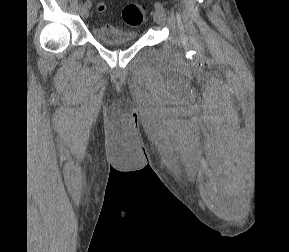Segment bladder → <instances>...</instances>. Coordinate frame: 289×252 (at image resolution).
I'll list each match as a JSON object with an SVG mask.
<instances>
[{"mask_svg": "<svg viewBox=\"0 0 289 252\" xmlns=\"http://www.w3.org/2000/svg\"><path fill=\"white\" fill-rule=\"evenodd\" d=\"M92 33L96 39L107 45L133 43L139 38L138 32L123 30L113 25L95 26Z\"/></svg>", "mask_w": 289, "mask_h": 252, "instance_id": "1", "label": "bladder"}]
</instances>
